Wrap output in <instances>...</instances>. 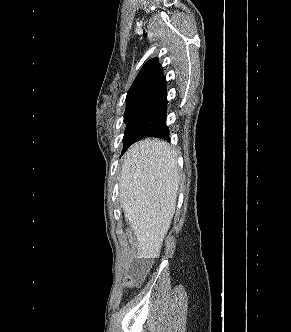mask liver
Masks as SVG:
<instances>
[{"label":"liver","instance_id":"1","mask_svg":"<svg viewBox=\"0 0 291 332\" xmlns=\"http://www.w3.org/2000/svg\"><path fill=\"white\" fill-rule=\"evenodd\" d=\"M179 183L177 152L166 141L148 138L128 149L119 195L139 258L159 257L175 213Z\"/></svg>","mask_w":291,"mask_h":332}]
</instances>
